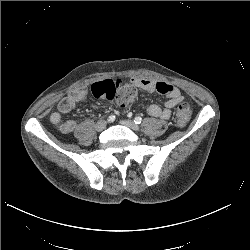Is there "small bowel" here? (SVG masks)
<instances>
[{
	"instance_id": "1",
	"label": "small bowel",
	"mask_w": 250,
	"mask_h": 250,
	"mask_svg": "<svg viewBox=\"0 0 250 250\" xmlns=\"http://www.w3.org/2000/svg\"><path fill=\"white\" fill-rule=\"evenodd\" d=\"M121 86L132 88L134 91H156L167 96V101L164 103L163 108L157 105H150L146 108V113L151 117L169 119L171 116V109L183 100L182 93L177 87L163 81H155L148 78H135L132 79L129 84ZM88 93V88H81L71 92L58 103L57 111L51 114L50 121L61 133L69 134L75 130L76 122L74 120L63 121L62 114L72 111L76 105L86 99Z\"/></svg>"
}]
</instances>
